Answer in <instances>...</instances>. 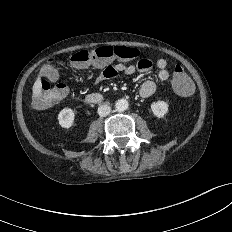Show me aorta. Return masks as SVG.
Instances as JSON below:
<instances>
[{
	"label": "aorta",
	"instance_id": "aorta-1",
	"mask_svg": "<svg viewBox=\"0 0 232 232\" xmlns=\"http://www.w3.org/2000/svg\"><path fill=\"white\" fill-rule=\"evenodd\" d=\"M128 106H129V103L126 99H119L115 103V109L120 112L127 110Z\"/></svg>",
	"mask_w": 232,
	"mask_h": 232
}]
</instances>
